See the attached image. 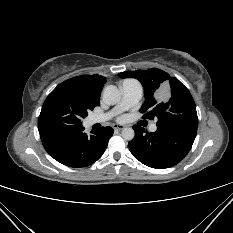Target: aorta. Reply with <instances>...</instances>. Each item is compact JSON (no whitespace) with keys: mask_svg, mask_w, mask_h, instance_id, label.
Wrapping results in <instances>:
<instances>
[{"mask_svg":"<svg viewBox=\"0 0 233 233\" xmlns=\"http://www.w3.org/2000/svg\"><path fill=\"white\" fill-rule=\"evenodd\" d=\"M121 99L120 90L114 85H108L103 89V101L109 105L117 104ZM122 138L124 140H132L135 132L132 128L126 127L122 130Z\"/></svg>","mask_w":233,"mask_h":233,"instance_id":"aorta-1","label":"aorta"}]
</instances>
